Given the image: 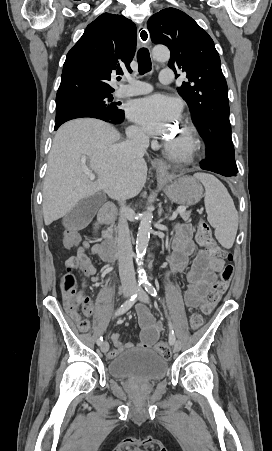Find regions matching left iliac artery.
<instances>
[{"label": "left iliac artery", "mask_w": 272, "mask_h": 451, "mask_svg": "<svg viewBox=\"0 0 272 451\" xmlns=\"http://www.w3.org/2000/svg\"><path fill=\"white\" fill-rule=\"evenodd\" d=\"M144 287H145V290L151 296L158 297V292H157L156 288L148 280L144 281ZM159 300H160V298H159ZM168 325H169V329H170L169 343L172 345L175 343L176 337H175L174 330L172 328V324H171L169 317H168Z\"/></svg>", "instance_id": "1"}]
</instances>
